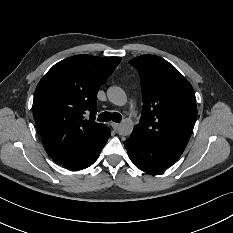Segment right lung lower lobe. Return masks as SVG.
I'll use <instances>...</instances> for the list:
<instances>
[{
	"label": "right lung lower lobe",
	"mask_w": 233,
	"mask_h": 233,
	"mask_svg": "<svg viewBox=\"0 0 233 233\" xmlns=\"http://www.w3.org/2000/svg\"><path fill=\"white\" fill-rule=\"evenodd\" d=\"M110 134H111V131L107 134L105 139L99 145H97L95 148H93L90 152H88L84 156L74 161H70V162H67L61 165L71 170H81V169H85L89 167L98 159L101 150L103 149L108 138L110 137Z\"/></svg>",
	"instance_id": "1"
}]
</instances>
